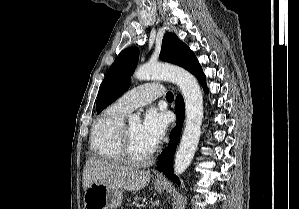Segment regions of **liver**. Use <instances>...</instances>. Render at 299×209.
<instances>
[{"label":"liver","instance_id":"6515ba94","mask_svg":"<svg viewBox=\"0 0 299 209\" xmlns=\"http://www.w3.org/2000/svg\"><path fill=\"white\" fill-rule=\"evenodd\" d=\"M150 180V172L118 165L114 162L92 157L87 160L83 170V188L86 190L93 182L127 191H138Z\"/></svg>","mask_w":299,"mask_h":209}]
</instances>
